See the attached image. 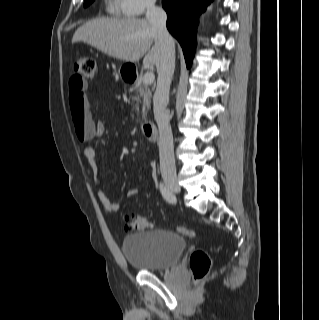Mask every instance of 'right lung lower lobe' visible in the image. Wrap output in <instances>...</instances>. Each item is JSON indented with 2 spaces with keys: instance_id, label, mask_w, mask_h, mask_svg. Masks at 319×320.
<instances>
[{
  "instance_id": "right-lung-lower-lobe-1",
  "label": "right lung lower lobe",
  "mask_w": 319,
  "mask_h": 320,
  "mask_svg": "<svg viewBox=\"0 0 319 320\" xmlns=\"http://www.w3.org/2000/svg\"><path fill=\"white\" fill-rule=\"evenodd\" d=\"M213 0H162L167 12V28L183 48L186 65L189 68L196 47L198 15Z\"/></svg>"
}]
</instances>
